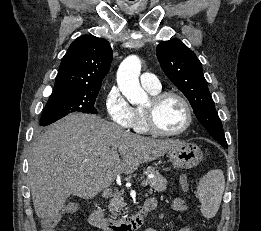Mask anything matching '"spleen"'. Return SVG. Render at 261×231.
Listing matches in <instances>:
<instances>
[{
    "label": "spleen",
    "mask_w": 261,
    "mask_h": 231,
    "mask_svg": "<svg viewBox=\"0 0 261 231\" xmlns=\"http://www.w3.org/2000/svg\"><path fill=\"white\" fill-rule=\"evenodd\" d=\"M225 188L222 170H210L199 181L197 196L201 202V213L206 218H213L221 204Z\"/></svg>",
    "instance_id": "1"
}]
</instances>
